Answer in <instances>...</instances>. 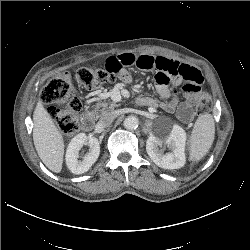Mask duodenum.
Returning a JSON list of instances; mask_svg holds the SVG:
<instances>
[{"label":"duodenum","mask_w":250,"mask_h":250,"mask_svg":"<svg viewBox=\"0 0 250 250\" xmlns=\"http://www.w3.org/2000/svg\"><path fill=\"white\" fill-rule=\"evenodd\" d=\"M93 121H94V116L93 114L89 113V114H86L83 119H82V127L84 130L86 131H90L93 129Z\"/></svg>","instance_id":"duodenum-1"}]
</instances>
